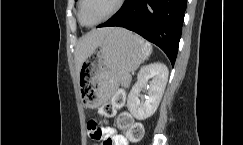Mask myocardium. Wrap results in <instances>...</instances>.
<instances>
[{
	"instance_id": "f54148a6",
	"label": "myocardium",
	"mask_w": 243,
	"mask_h": 145,
	"mask_svg": "<svg viewBox=\"0 0 243 145\" xmlns=\"http://www.w3.org/2000/svg\"><path fill=\"white\" fill-rule=\"evenodd\" d=\"M125 2H126V0H118L116 6L114 7V9L108 15H106L103 19H101L100 21L96 22L95 24H91L90 25V24H86L83 21L82 9H83L84 0H79V7H78V19H79V22L83 26L88 27V28H92V27L98 26V25L106 22L107 20H109L113 16H115L123 8Z\"/></svg>"
}]
</instances>
